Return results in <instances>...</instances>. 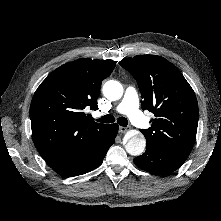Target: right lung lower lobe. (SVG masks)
I'll return each mask as SVG.
<instances>
[{"mask_svg":"<svg viewBox=\"0 0 221 221\" xmlns=\"http://www.w3.org/2000/svg\"><path fill=\"white\" fill-rule=\"evenodd\" d=\"M117 132L118 125L109 124L103 139L93 150L52 168L59 175L66 177L82 175L95 169L102 163L108 149L115 142Z\"/></svg>","mask_w":221,"mask_h":221,"instance_id":"obj_1","label":"right lung lower lobe"}]
</instances>
